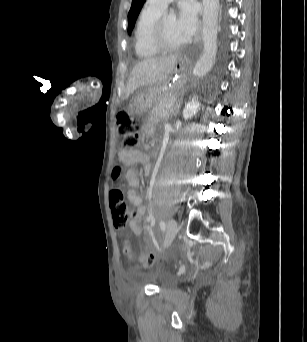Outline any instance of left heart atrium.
I'll use <instances>...</instances> for the list:
<instances>
[{"mask_svg":"<svg viewBox=\"0 0 307 342\" xmlns=\"http://www.w3.org/2000/svg\"><path fill=\"white\" fill-rule=\"evenodd\" d=\"M175 29L184 44L194 39L199 30V21L193 5L182 8L180 16L175 21Z\"/></svg>","mask_w":307,"mask_h":342,"instance_id":"obj_1","label":"left heart atrium"}]
</instances>
